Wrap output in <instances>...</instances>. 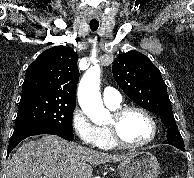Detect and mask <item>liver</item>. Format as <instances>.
<instances>
[{
	"instance_id": "obj_1",
	"label": "liver",
	"mask_w": 194,
	"mask_h": 178,
	"mask_svg": "<svg viewBox=\"0 0 194 178\" xmlns=\"http://www.w3.org/2000/svg\"><path fill=\"white\" fill-rule=\"evenodd\" d=\"M131 155L100 153L45 135L19 147L8 161L6 174L7 178H91L92 165L123 161Z\"/></svg>"
}]
</instances>
